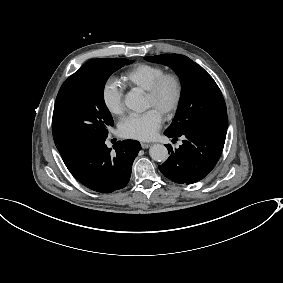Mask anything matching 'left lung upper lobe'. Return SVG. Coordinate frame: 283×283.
<instances>
[{"instance_id":"obj_1","label":"left lung upper lobe","mask_w":283,"mask_h":283,"mask_svg":"<svg viewBox=\"0 0 283 283\" xmlns=\"http://www.w3.org/2000/svg\"><path fill=\"white\" fill-rule=\"evenodd\" d=\"M145 59L171 67L181 80L182 93L178 109L165 134L227 131V110L223 95L202 67L180 54H161Z\"/></svg>"}]
</instances>
